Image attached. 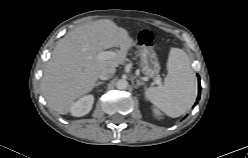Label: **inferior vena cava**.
I'll use <instances>...</instances> for the list:
<instances>
[{
  "label": "inferior vena cava",
  "mask_w": 248,
  "mask_h": 158,
  "mask_svg": "<svg viewBox=\"0 0 248 158\" xmlns=\"http://www.w3.org/2000/svg\"><path fill=\"white\" fill-rule=\"evenodd\" d=\"M116 69L115 67H107V68H104L100 74H99V78L101 80H108L109 78H111L114 73H115Z\"/></svg>",
  "instance_id": "1"
}]
</instances>
